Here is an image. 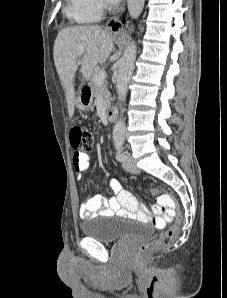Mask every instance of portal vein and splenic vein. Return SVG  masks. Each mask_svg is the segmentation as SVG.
Here are the masks:
<instances>
[{
	"label": "portal vein and splenic vein",
	"instance_id": "obj_1",
	"mask_svg": "<svg viewBox=\"0 0 227 298\" xmlns=\"http://www.w3.org/2000/svg\"><path fill=\"white\" fill-rule=\"evenodd\" d=\"M78 63H80V62H78ZM105 78H106V71L105 70H100L96 74L94 81H95L96 84L101 85V84L104 83Z\"/></svg>",
	"mask_w": 227,
	"mask_h": 298
}]
</instances>
